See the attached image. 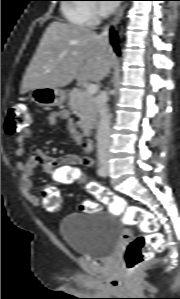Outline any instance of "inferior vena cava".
Listing matches in <instances>:
<instances>
[{"label": "inferior vena cava", "mask_w": 180, "mask_h": 299, "mask_svg": "<svg viewBox=\"0 0 180 299\" xmlns=\"http://www.w3.org/2000/svg\"><path fill=\"white\" fill-rule=\"evenodd\" d=\"M107 28L101 33V37L107 39ZM107 96L105 92H102L96 99L97 111L100 115V121L98 125V157L100 159L105 158L109 153L110 143V114L107 107Z\"/></svg>", "instance_id": "obj_1"}]
</instances>
